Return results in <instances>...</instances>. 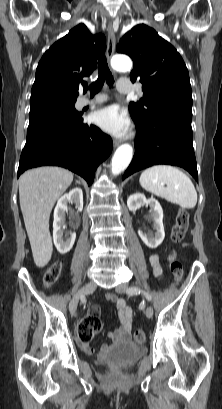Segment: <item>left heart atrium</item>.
Here are the masks:
<instances>
[{
    "label": "left heart atrium",
    "instance_id": "obj_1",
    "mask_svg": "<svg viewBox=\"0 0 222 409\" xmlns=\"http://www.w3.org/2000/svg\"><path fill=\"white\" fill-rule=\"evenodd\" d=\"M92 121L105 132L123 136L128 132L129 121L116 106H108L93 113Z\"/></svg>",
    "mask_w": 222,
    "mask_h": 409
}]
</instances>
